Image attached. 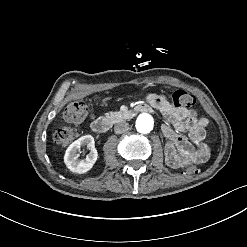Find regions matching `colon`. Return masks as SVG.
<instances>
[{
	"instance_id": "colon-1",
	"label": "colon",
	"mask_w": 247,
	"mask_h": 247,
	"mask_svg": "<svg viewBox=\"0 0 247 247\" xmlns=\"http://www.w3.org/2000/svg\"><path fill=\"white\" fill-rule=\"evenodd\" d=\"M196 97L187 94L184 89H179L172 94V105L175 108H180L181 106L192 108L196 103ZM63 117L66 122L84 124L89 118V112L87 105L83 101H71L66 104ZM75 138V131L71 126L62 125L54 133L55 143L59 147H64L69 145ZM198 169L191 165L184 168V173L195 174Z\"/></svg>"
}]
</instances>
